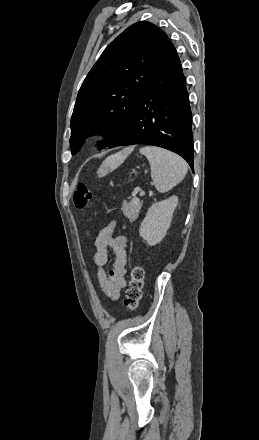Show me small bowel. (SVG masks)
<instances>
[{
	"label": "small bowel",
	"mask_w": 259,
	"mask_h": 440,
	"mask_svg": "<svg viewBox=\"0 0 259 440\" xmlns=\"http://www.w3.org/2000/svg\"><path fill=\"white\" fill-rule=\"evenodd\" d=\"M94 264L99 285L111 300H117L126 286L127 243L125 236L115 235V223H109L95 239ZM109 250L114 254L112 267L105 270Z\"/></svg>",
	"instance_id": "c3829d8e"
}]
</instances>
